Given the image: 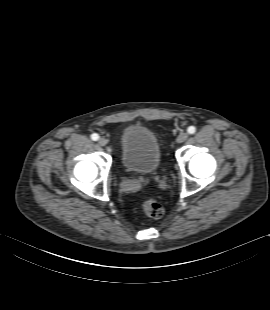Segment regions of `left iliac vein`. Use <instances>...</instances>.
Returning a JSON list of instances; mask_svg holds the SVG:
<instances>
[{"mask_svg": "<svg viewBox=\"0 0 270 310\" xmlns=\"http://www.w3.org/2000/svg\"><path fill=\"white\" fill-rule=\"evenodd\" d=\"M188 139V133L182 132L178 135L176 142L177 143H182Z\"/></svg>", "mask_w": 270, "mask_h": 310, "instance_id": "4c4485c4", "label": "left iliac vein"}]
</instances>
